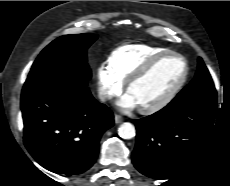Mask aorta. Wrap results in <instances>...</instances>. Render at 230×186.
I'll return each instance as SVG.
<instances>
[{
    "label": "aorta",
    "instance_id": "obj_1",
    "mask_svg": "<svg viewBox=\"0 0 230 186\" xmlns=\"http://www.w3.org/2000/svg\"><path fill=\"white\" fill-rule=\"evenodd\" d=\"M119 136L123 139H131L136 135V130L134 125L125 122L118 128Z\"/></svg>",
    "mask_w": 230,
    "mask_h": 186
}]
</instances>
